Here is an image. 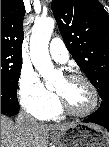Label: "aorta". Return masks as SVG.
<instances>
[{"mask_svg":"<svg viewBox=\"0 0 109 147\" xmlns=\"http://www.w3.org/2000/svg\"><path fill=\"white\" fill-rule=\"evenodd\" d=\"M55 26L51 17L39 19L34 23L30 38V56L39 74L46 80V85L54 83L59 77L49 55V42Z\"/></svg>","mask_w":109,"mask_h":147,"instance_id":"762f6f07","label":"aorta"}]
</instances>
